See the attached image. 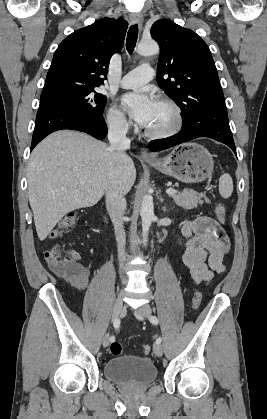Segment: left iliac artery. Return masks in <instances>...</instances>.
I'll list each match as a JSON object with an SVG mask.
<instances>
[{"mask_svg": "<svg viewBox=\"0 0 267 419\" xmlns=\"http://www.w3.org/2000/svg\"><path fill=\"white\" fill-rule=\"evenodd\" d=\"M148 319L150 320V322L152 324H154V325H157L158 324V319H157L156 316H148ZM161 341H162V338L161 337H158L156 339V343H161Z\"/></svg>", "mask_w": 267, "mask_h": 419, "instance_id": "1", "label": "left iliac artery"}]
</instances>
